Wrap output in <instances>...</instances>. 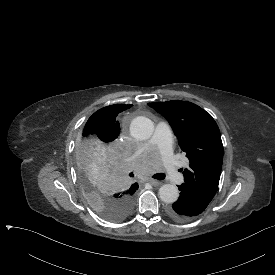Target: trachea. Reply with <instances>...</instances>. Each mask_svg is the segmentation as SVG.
<instances>
[{"label": "trachea", "instance_id": "1", "mask_svg": "<svg viewBox=\"0 0 275 275\" xmlns=\"http://www.w3.org/2000/svg\"><path fill=\"white\" fill-rule=\"evenodd\" d=\"M129 176L133 177L134 174L130 173ZM152 178H155V179H158V180H163L165 178V175L163 173H157V174L153 175Z\"/></svg>", "mask_w": 275, "mask_h": 275}]
</instances>
